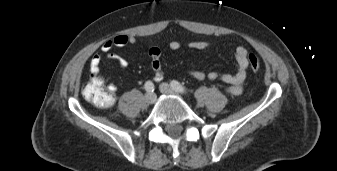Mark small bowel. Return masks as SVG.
<instances>
[{
    "instance_id": "obj_1",
    "label": "small bowel",
    "mask_w": 337,
    "mask_h": 171,
    "mask_svg": "<svg viewBox=\"0 0 337 171\" xmlns=\"http://www.w3.org/2000/svg\"><path fill=\"white\" fill-rule=\"evenodd\" d=\"M137 43L136 37L128 34H118L113 39L107 40L101 47L100 51L95 53L90 60V72L92 77L100 76V65L105 56L107 59L117 61L121 69H125L128 66L126 58L113 52L114 48H123L128 45H135ZM212 46L208 41H191L188 43V47L192 50H204ZM181 47V43L177 40L169 42V48L171 50H178ZM149 57L151 59V68L154 74L155 81H161L164 77L162 64H161V50L158 47H152L149 50ZM248 51L243 46H237L234 50V61L236 64V72L219 73L215 71L204 72L201 70H192L190 75L196 80H209L212 82L220 81L226 85V90L232 94H239L242 91L243 84L246 80L248 69ZM107 90L112 94L117 91V86L113 83L107 85Z\"/></svg>"
}]
</instances>
